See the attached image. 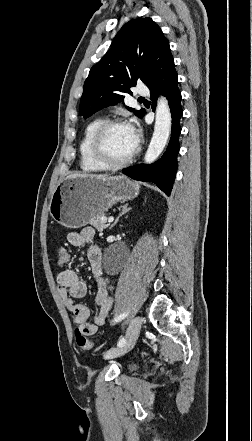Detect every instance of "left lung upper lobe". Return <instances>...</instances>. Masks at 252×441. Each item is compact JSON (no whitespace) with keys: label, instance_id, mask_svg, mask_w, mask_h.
Returning a JSON list of instances; mask_svg holds the SVG:
<instances>
[{"label":"left lung upper lobe","instance_id":"left-lung-upper-lobe-1","mask_svg":"<svg viewBox=\"0 0 252 441\" xmlns=\"http://www.w3.org/2000/svg\"><path fill=\"white\" fill-rule=\"evenodd\" d=\"M169 44L151 18L132 19L120 29L110 50L95 64L84 83L79 115L88 118L96 111L124 104L130 87L140 79L149 84L157 69L162 50ZM129 111L133 108L127 107ZM144 109L135 111L143 117Z\"/></svg>","mask_w":252,"mask_h":441}]
</instances>
